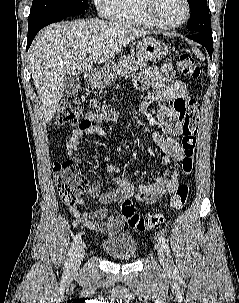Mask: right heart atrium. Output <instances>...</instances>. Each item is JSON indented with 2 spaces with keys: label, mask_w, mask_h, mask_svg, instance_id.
I'll use <instances>...</instances> for the list:
<instances>
[{
  "label": "right heart atrium",
  "mask_w": 239,
  "mask_h": 303,
  "mask_svg": "<svg viewBox=\"0 0 239 303\" xmlns=\"http://www.w3.org/2000/svg\"><path fill=\"white\" fill-rule=\"evenodd\" d=\"M102 16H112L117 0H93Z\"/></svg>",
  "instance_id": "d8ad5b80"
}]
</instances>
